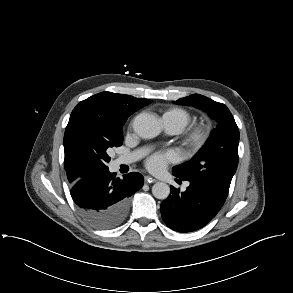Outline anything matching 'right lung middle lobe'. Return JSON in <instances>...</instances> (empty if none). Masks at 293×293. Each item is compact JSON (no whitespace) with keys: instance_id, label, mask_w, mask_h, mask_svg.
Returning <instances> with one entry per match:
<instances>
[{"instance_id":"1","label":"right lung middle lobe","mask_w":293,"mask_h":293,"mask_svg":"<svg viewBox=\"0 0 293 293\" xmlns=\"http://www.w3.org/2000/svg\"><path fill=\"white\" fill-rule=\"evenodd\" d=\"M78 105L72 124L65 130L67 146L64 144V149L65 160L81 176L108 168V151L122 145V126L131 113L109 109L104 101L96 97H89ZM84 219L96 227L108 229L119 225L123 217L107 215Z\"/></svg>"}]
</instances>
